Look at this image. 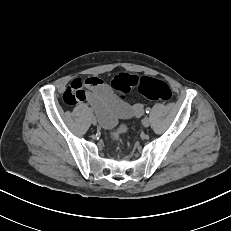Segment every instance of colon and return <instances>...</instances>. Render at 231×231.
<instances>
[{
    "mask_svg": "<svg viewBox=\"0 0 231 231\" xmlns=\"http://www.w3.org/2000/svg\"><path fill=\"white\" fill-rule=\"evenodd\" d=\"M111 87L122 96L136 88L143 97L162 102L169 101L172 96L166 82L150 77H139L135 74L120 73L114 76ZM123 131V127L118 128L114 131L113 137L118 139Z\"/></svg>",
    "mask_w": 231,
    "mask_h": 231,
    "instance_id": "5ec220e1",
    "label": "colon"
}]
</instances>
